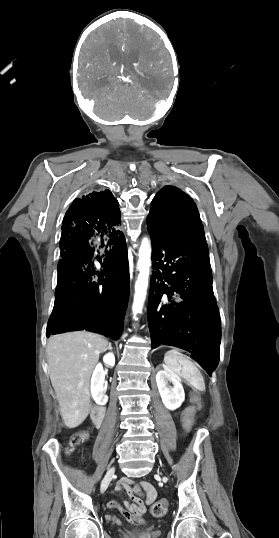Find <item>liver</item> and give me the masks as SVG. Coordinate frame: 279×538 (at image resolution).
I'll return each mask as SVG.
<instances>
[{"instance_id": "obj_1", "label": "liver", "mask_w": 279, "mask_h": 538, "mask_svg": "<svg viewBox=\"0 0 279 538\" xmlns=\"http://www.w3.org/2000/svg\"><path fill=\"white\" fill-rule=\"evenodd\" d=\"M108 344L103 336L92 332H68L49 338V376L67 428L80 426L90 412V376Z\"/></svg>"}]
</instances>
